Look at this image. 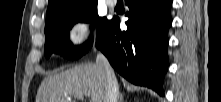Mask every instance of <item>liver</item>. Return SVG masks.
<instances>
[{
	"mask_svg": "<svg viewBox=\"0 0 221 102\" xmlns=\"http://www.w3.org/2000/svg\"><path fill=\"white\" fill-rule=\"evenodd\" d=\"M88 96L90 102H105L106 74L97 64L87 63L46 77L36 102H75L71 98Z\"/></svg>",
	"mask_w": 221,
	"mask_h": 102,
	"instance_id": "1",
	"label": "liver"
}]
</instances>
